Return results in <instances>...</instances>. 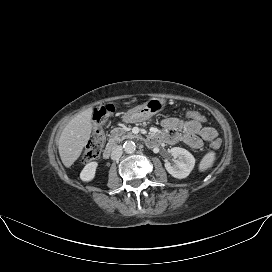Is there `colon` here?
<instances>
[{
  "label": "colon",
  "instance_id": "obj_1",
  "mask_svg": "<svg viewBox=\"0 0 272 272\" xmlns=\"http://www.w3.org/2000/svg\"><path fill=\"white\" fill-rule=\"evenodd\" d=\"M115 108L113 105H104L99 109L95 110L93 115L94 120V134L93 138L86 145L82 160L85 163L91 162L99 157L105 143V131L104 126L108 119L113 114ZM185 120H195L199 122H204L206 117L198 111H186L182 115ZM221 146V140L215 139L211 142V147L213 149H218Z\"/></svg>",
  "mask_w": 272,
  "mask_h": 272
}]
</instances>
